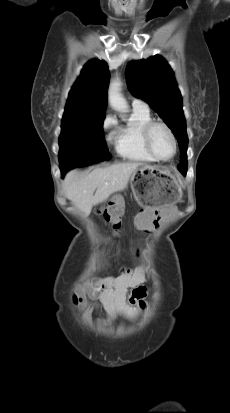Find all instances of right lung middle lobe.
Masks as SVG:
<instances>
[{"instance_id": "1", "label": "right lung middle lobe", "mask_w": 230, "mask_h": 413, "mask_svg": "<svg viewBox=\"0 0 230 413\" xmlns=\"http://www.w3.org/2000/svg\"><path fill=\"white\" fill-rule=\"evenodd\" d=\"M104 117L81 122L62 123L59 138L60 169L87 166L108 160L111 155L102 131Z\"/></svg>"}]
</instances>
